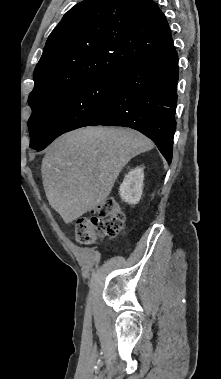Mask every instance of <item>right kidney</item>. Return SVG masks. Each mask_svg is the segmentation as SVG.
<instances>
[{
  "label": "right kidney",
  "mask_w": 221,
  "mask_h": 379,
  "mask_svg": "<svg viewBox=\"0 0 221 379\" xmlns=\"http://www.w3.org/2000/svg\"><path fill=\"white\" fill-rule=\"evenodd\" d=\"M144 171L143 168H135L125 176L120 185L121 199L129 204H137L142 195Z\"/></svg>",
  "instance_id": "1"
}]
</instances>
